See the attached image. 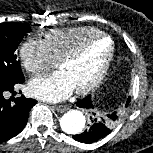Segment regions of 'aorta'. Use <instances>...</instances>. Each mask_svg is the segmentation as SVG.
Masks as SVG:
<instances>
[{
    "mask_svg": "<svg viewBox=\"0 0 153 153\" xmlns=\"http://www.w3.org/2000/svg\"><path fill=\"white\" fill-rule=\"evenodd\" d=\"M86 124L84 114L79 110H70L65 113L60 121L62 130L67 134H79Z\"/></svg>",
    "mask_w": 153,
    "mask_h": 153,
    "instance_id": "1",
    "label": "aorta"
}]
</instances>
